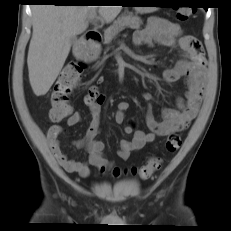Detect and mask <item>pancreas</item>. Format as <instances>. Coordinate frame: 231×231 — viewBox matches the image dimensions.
Returning <instances> with one entry per match:
<instances>
[{"instance_id":"pancreas-1","label":"pancreas","mask_w":231,"mask_h":231,"mask_svg":"<svg viewBox=\"0 0 231 231\" xmlns=\"http://www.w3.org/2000/svg\"><path fill=\"white\" fill-rule=\"evenodd\" d=\"M141 24L142 20L137 15H133L131 13L121 15L109 28L104 31V43H111L112 39L126 27L139 29Z\"/></svg>"}]
</instances>
